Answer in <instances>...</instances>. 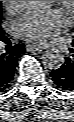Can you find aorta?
Here are the masks:
<instances>
[{"label":"aorta","mask_w":74,"mask_h":122,"mask_svg":"<svg viewBox=\"0 0 74 122\" xmlns=\"http://www.w3.org/2000/svg\"><path fill=\"white\" fill-rule=\"evenodd\" d=\"M51 4V1H23L28 9H44ZM42 63L48 69H58L64 63V56L58 49H47L42 54Z\"/></svg>","instance_id":"762f6f07"}]
</instances>
